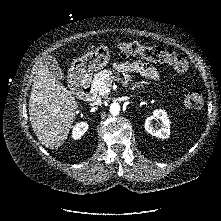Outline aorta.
<instances>
[{
  "mask_svg": "<svg viewBox=\"0 0 221 221\" xmlns=\"http://www.w3.org/2000/svg\"><path fill=\"white\" fill-rule=\"evenodd\" d=\"M120 112V105L118 103H112L110 106V113L114 116L118 115Z\"/></svg>",
  "mask_w": 221,
  "mask_h": 221,
  "instance_id": "obj_1",
  "label": "aorta"
}]
</instances>
